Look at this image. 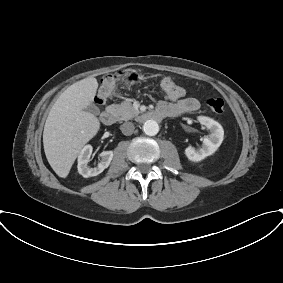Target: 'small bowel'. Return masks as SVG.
<instances>
[{"label": "small bowel", "mask_w": 283, "mask_h": 283, "mask_svg": "<svg viewBox=\"0 0 283 283\" xmlns=\"http://www.w3.org/2000/svg\"><path fill=\"white\" fill-rule=\"evenodd\" d=\"M168 98L171 100V102H159L158 110H171L173 112L172 116L192 113L197 111L200 107L199 100L195 97H185L181 99L171 97Z\"/></svg>", "instance_id": "small-bowel-1"}]
</instances>
